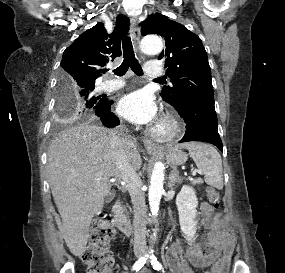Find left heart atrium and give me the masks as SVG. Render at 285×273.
<instances>
[{
  "instance_id": "1",
  "label": "left heart atrium",
  "mask_w": 285,
  "mask_h": 273,
  "mask_svg": "<svg viewBox=\"0 0 285 273\" xmlns=\"http://www.w3.org/2000/svg\"><path fill=\"white\" fill-rule=\"evenodd\" d=\"M117 110L127 120L143 125L155 122L157 108L148 94L136 91L124 96L118 103Z\"/></svg>"
}]
</instances>
